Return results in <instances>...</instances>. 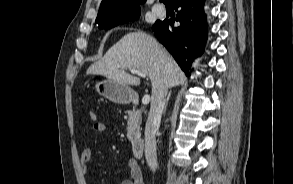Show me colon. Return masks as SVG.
<instances>
[{
  "mask_svg": "<svg viewBox=\"0 0 293 184\" xmlns=\"http://www.w3.org/2000/svg\"><path fill=\"white\" fill-rule=\"evenodd\" d=\"M89 116H90L91 120H96V118H97L96 113L94 111H90Z\"/></svg>",
  "mask_w": 293,
  "mask_h": 184,
  "instance_id": "5ec220e1",
  "label": "colon"
}]
</instances>
